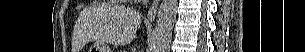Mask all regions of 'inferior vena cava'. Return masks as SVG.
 I'll use <instances>...</instances> for the list:
<instances>
[{
	"instance_id": "1",
	"label": "inferior vena cava",
	"mask_w": 305,
	"mask_h": 52,
	"mask_svg": "<svg viewBox=\"0 0 305 52\" xmlns=\"http://www.w3.org/2000/svg\"><path fill=\"white\" fill-rule=\"evenodd\" d=\"M148 2H149V0H143L144 5H147Z\"/></svg>"
}]
</instances>
